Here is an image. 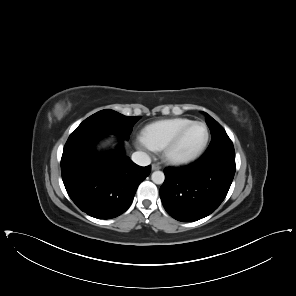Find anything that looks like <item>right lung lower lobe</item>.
<instances>
[{
  "label": "right lung lower lobe",
  "instance_id": "right-lung-lower-lobe-1",
  "mask_svg": "<svg viewBox=\"0 0 296 296\" xmlns=\"http://www.w3.org/2000/svg\"><path fill=\"white\" fill-rule=\"evenodd\" d=\"M105 133L71 134L61 159L66 191L77 207L98 219H110L131 205L139 184L151 167L136 165L125 156L122 139L116 150L96 154L95 143Z\"/></svg>",
  "mask_w": 296,
  "mask_h": 296
}]
</instances>
